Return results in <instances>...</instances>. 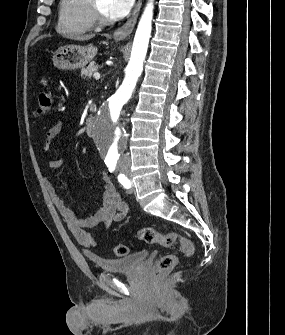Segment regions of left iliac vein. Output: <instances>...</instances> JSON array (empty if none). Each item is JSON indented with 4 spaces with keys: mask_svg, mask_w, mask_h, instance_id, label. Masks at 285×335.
Segmentation results:
<instances>
[{
    "mask_svg": "<svg viewBox=\"0 0 285 335\" xmlns=\"http://www.w3.org/2000/svg\"><path fill=\"white\" fill-rule=\"evenodd\" d=\"M131 184H132V187H131V189L128 190V192H134V184H133L132 180H131Z\"/></svg>",
    "mask_w": 285,
    "mask_h": 335,
    "instance_id": "1",
    "label": "left iliac vein"
}]
</instances>
